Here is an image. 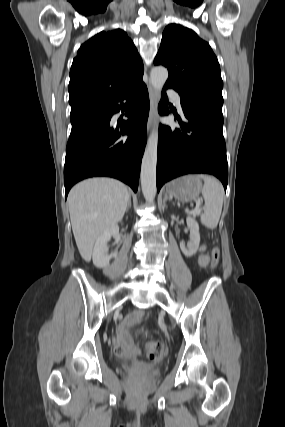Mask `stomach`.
<instances>
[{
    "instance_id": "stomach-1",
    "label": "stomach",
    "mask_w": 285,
    "mask_h": 427,
    "mask_svg": "<svg viewBox=\"0 0 285 427\" xmlns=\"http://www.w3.org/2000/svg\"><path fill=\"white\" fill-rule=\"evenodd\" d=\"M202 189L201 180L193 175L177 178L166 185V193L182 202L195 200Z\"/></svg>"
}]
</instances>
